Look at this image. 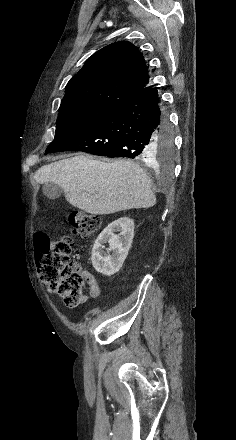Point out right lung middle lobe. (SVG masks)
I'll return each instance as SVG.
<instances>
[{
  "label": "right lung middle lobe",
  "instance_id": "dd1d6c3e",
  "mask_svg": "<svg viewBox=\"0 0 236 440\" xmlns=\"http://www.w3.org/2000/svg\"><path fill=\"white\" fill-rule=\"evenodd\" d=\"M115 107L89 101L61 104L55 138L47 150L57 148L74 136L84 132ZM155 144L157 146V159L162 163L168 162L173 153V139L168 130L156 139Z\"/></svg>",
  "mask_w": 236,
  "mask_h": 440
}]
</instances>
